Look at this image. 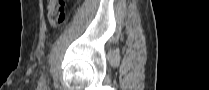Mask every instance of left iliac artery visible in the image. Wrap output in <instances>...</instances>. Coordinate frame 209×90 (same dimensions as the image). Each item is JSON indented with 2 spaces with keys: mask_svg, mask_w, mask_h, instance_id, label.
I'll return each mask as SVG.
<instances>
[{
  "mask_svg": "<svg viewBox=\"0 0 209 90\" xmlns=\"http://www.w3.org/2000/svg\"><path fill=\"white\" fill-rule=\"evenodd\" d=\"M45 83H46V78H45V76H42L41 80H40V83H39V86H43Z\"/></svg>",
  "mask_w": 209,
  "mask_h": 90,
  "instance_id": "44dca946",
  "label": "left iliac artery"
}]
</instances>
